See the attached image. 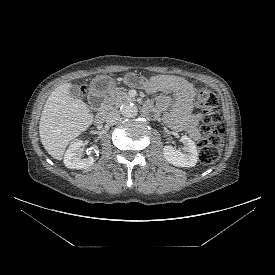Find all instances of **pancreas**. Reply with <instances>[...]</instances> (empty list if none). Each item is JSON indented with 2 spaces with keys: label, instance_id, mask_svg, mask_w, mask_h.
<instances>
[{
  "label": "pancreas",
  "instance_id": "obj_1",
  "mask_svg": "<svg viewBox=\"0 0 275 275\" xmlns=\"http://www.w3.org/2000/svg\"><path fill=\"white\" fill-rule=\"evenodd\" d=\"M134 98L130 97L125 90H114L106 99L105 106L107 109L112 108L114 105L119 107L125 102L133 101Z\"/></svg>",
  "mask_w": 275,
  "mask_h": 275
}]
</instances>
